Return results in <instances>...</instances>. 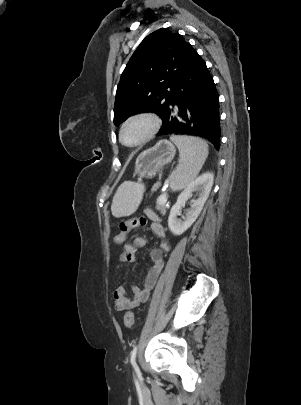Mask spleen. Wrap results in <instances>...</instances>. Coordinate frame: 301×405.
Segmentation results:
<instances>
[{
  "label": "spleen",
  "instance_id": "1",
  "mask_svg": "<svg viewBox=\"0 0 301 405\" xmlns=\"http://www.w3.org/2000/svg\"><path fill=\"white\" fill-rule=\"evenodd\" d=\"M170 140L179 149V165L171 174L170 188L182 190L192 182L200 172L207 156L208 144L201 138L192 136H171ZM143 186L133 182H124L118 188L112 202L113 216L122 217L131 214L139 203Z\"/></svg>",
  "mask_w": 301,
  "mask_h": 405
}]
</instances>
